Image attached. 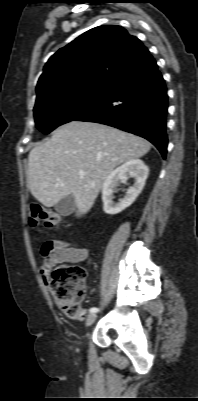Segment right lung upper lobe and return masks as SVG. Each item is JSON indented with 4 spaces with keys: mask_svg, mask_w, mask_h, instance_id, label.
I'll use <instances>...</instances> for the list:
<instances>
[{
    "mask_svg": "<svg viewBox=\"0 0 198 401\" xmlns=\"http://www.w3.org/2000/svg\"><path fill=\"white\" fill-rule=\"evenodd\" d=\"M148 54L121 26L93 28L50 57L36 87L37 99L84 84H109Z\"/></svg>",
    "mask_w": 198,
    "mask_h": 401,
    "instance_id": "1",
    "label": "right lung upper lobe"
}]
</instances>
